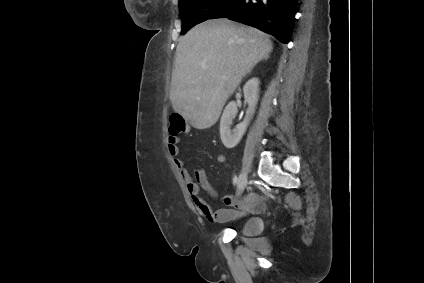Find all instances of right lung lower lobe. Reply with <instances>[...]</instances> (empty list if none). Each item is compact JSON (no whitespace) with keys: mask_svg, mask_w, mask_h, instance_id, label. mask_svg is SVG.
<instances>
[{"mask_svg":"<svg viewBox=\"0 0 424 283\" xmlns=\"http://www.w3.org/2000/svg\"><path fill=\"white\" fill-rule=\"evenodd\" d=\"M297 0H229L209 19L228 18L258 28L288 43Z\"/></svg>","mask_w":424,"mask_h":283,"instance_id":"1","label":"right lung lower lobe"}]
</instances>
